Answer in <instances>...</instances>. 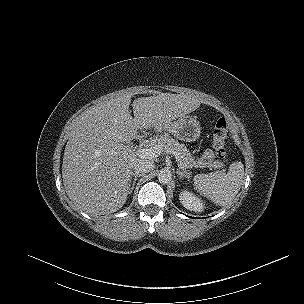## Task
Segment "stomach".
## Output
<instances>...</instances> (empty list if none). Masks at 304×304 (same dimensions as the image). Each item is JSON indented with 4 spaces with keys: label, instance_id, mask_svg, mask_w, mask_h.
I'll use <instances>...</instances> for the list:
<instances>
[{
    "label": "stomach",
    "instance_id": "obj_1",
    "mask_svg": "<svg viewBox=\"0 0 304 304\" xmlns=\"http://www.w3.org/2000/svg\"><path fill=\"white\" fill-rule=\"evenodd\" d=\"M166 128L175 138L186 142L195 141L201 133L199 122L191 116H183Z\"/></svg>",
    "mask_w": 304,
    "mask_h": 304
}]
</instances>
